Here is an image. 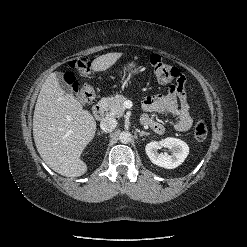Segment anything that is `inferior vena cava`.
<instances>
[{"label": "inferior vena cava", "instance_id": "1", "mask_svg": "<svg viewBox=\"0 0 247 247\" xmlns=\"http://www.w3.org/2000/svg\"><path fill=\"white\" fill-rule=\"evenodd\" d=\"M117 126V121L112 117H105L101 123L100 127L104 132H112Z\"/></svg>", "mask_w": 247, "mask_h": 247}]
</instances>
